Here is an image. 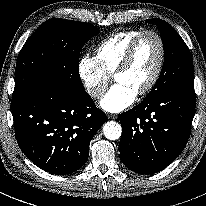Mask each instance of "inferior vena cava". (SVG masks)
Segmentation results:
<instances>
[{
  "instance_id": "inferior-vena-cava-1",
  "label": "inferior vena cava",
  "mask_w": 206,
  "mask_h": 206,
  "mask_svg": "<svg viewBox=\"0 0 206 206\" xmlns=\"http://www.w3.org/2000/svg\"><path fill=\"white\" fill-rule=\"evenodd\" d=\"M90 94L94 97H97V96H102L104 92L102 90L94 89L90 91Z\"/></svg>"
}]
</instances>
